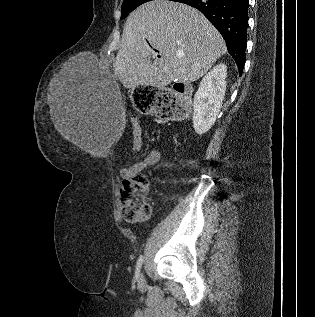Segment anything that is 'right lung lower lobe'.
<instances>
[{
    "label": "right lung lower lobe",
    "instance_id": "98d812e1",
    "mask_svg": "<svg viewBox=\"0 0 315 317\" xmlns=\"http://www.w3.org/2000/svg\"><path fill=\"white\" fill-rule=\"evenodd\" d=\"M200 10L223 36L240 75L245 64L248 0H175Z\"/></svg>",
    "mask_w": 315,
    "mask_h": 317
}]
</instances>
